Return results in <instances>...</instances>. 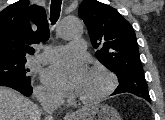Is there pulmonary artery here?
Here are the masks:
<instances>
[{"label":"pulmonary artery","instance_id":"pulmonary-artery-1","mask_svg":"<svg viewBox=\"0 0 165 120\" xmlns=\"http://www.w3.org/2000/svg\"><path fill=\"white\" fill-rule=\"evenodd\" d=\"M86 52V44L84 41L76 40L68 45L63 46H47L43 53L38 57L42 62H54L69 56L70 54H84Z\"/></svg>","mask_w":165,"mask_h":120}]
</instances>
